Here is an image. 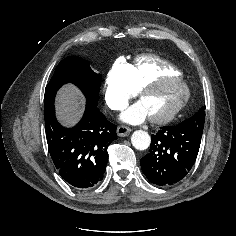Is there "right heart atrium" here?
I'll list each match as a JSON object with an SVG mask.
<instances>
[{
    "mask_svg": "<svg viewBox=\"0 0 236 236\" xmlns=\"http://www.w3.org/2000/svg\"><path fill=\"white\" fill-rule=\"evenodd\" d=\"M130 66L123 60L116 61L108 70L104 81V98L113 110L122 109L134 95L129 84Z\"/></svg>",
    "mask_w": 236,
    "mask_h": 236,
    "instance_id": "right-heart-atrium-1",
    "label": "right heart atrium"
}]
</instances>
